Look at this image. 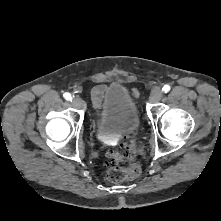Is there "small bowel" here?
I'll return each instance as SVG.
<instances>
[{
	"label": "small bowel",
	"instance_id": "small-bowel-1",
	"mask_svg": "<svg viewBox=\"0 0 221 221\" xmlns=\"http://www.w3.org/2000/svg\"><path fill=\"white\" fill-rule=\"evenodd\" d=\"M105 91H106V85L104 84L97 85L91 91L92 105L97 111H99L101 107L102 98H103Z\"/></svg>",
	"mask_w": 221,
	"mask_h": 221
}]
</instances>
